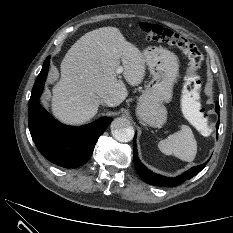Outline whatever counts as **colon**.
Here are the masks:
<instances>
[{
  "label": "colon",
  "instance_id": "1",
  "mask_svg": "<svg viewBox=\"0 0 233 233\" xmlns=\"http://www.w3.org/2000/svg\"><path fill=\"white\" fill-rule=\"evenodd\" d=\"M140 28L152 40L178 47L187 57L188 64L183 86L182 108L186 117L196 125L202 133H211V123L201 109V81L198 70L203 60L199 48L182 35L159 24L142 22Z\"/></svg>",
  "mask_w": 233,
  "mask_h": 233
}]
</instances>
